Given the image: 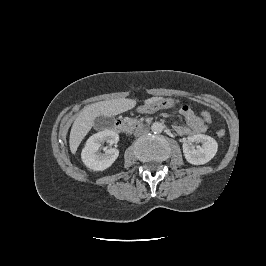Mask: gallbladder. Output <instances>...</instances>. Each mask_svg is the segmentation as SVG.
<instances>
[{
    "label": "gallbladder",
    "instance_id": "obj_1",
    "mask_svg": "<svg viewBox=\"0 0 266 266\" xmlns=\"http://www.w3.org/2000/svg\"><path fill=\"white\" fill-rule=\"evenodd\" d=\"M113 123V117L100 115L94 120V127L97 129L111 128L113 126Z\"/></svg>",
    "mask_w": 266,
    "mask_h": 266
}]
</instances>
